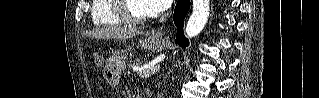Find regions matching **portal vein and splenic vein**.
I'll use <instances>...</instances> for the list:
<instances>
[{"instance_id":"18ae733b","label":"portal vein and splenic vein","mask_w":319,"mask_h":98,"mask_svg":"<svg viewBox=\"0 0 319 98\" xmlns=\"http://www.w3.org/2000/svg\"><path fill=\"white\" fill-rule=\"evenodd\" d=\"M159 69H160V66L159 64H157L153 66H145L142 68H138L137 70L139 71V75L141 77H150L153 74H155Z\"/></svg>"}]
</instances>
